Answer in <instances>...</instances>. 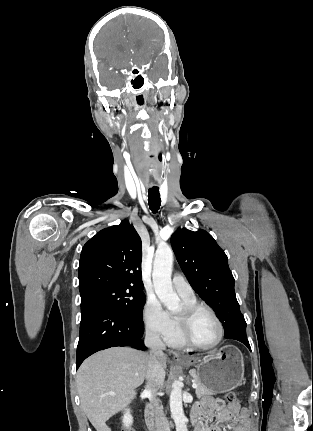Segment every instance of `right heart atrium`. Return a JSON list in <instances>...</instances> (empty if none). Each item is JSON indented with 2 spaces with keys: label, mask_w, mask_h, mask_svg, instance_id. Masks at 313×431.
Masks as SVG:
<instances>
[{
  "label": "right heart atrium",
  "mask_w": 313,
  "mask_h": 431,
  "mask_svg": "<svg viewBox=\"0 0 313 431\" xmlns=\"http://www.w3.org/2000/svg\"><path fill=\"white\" fill-rule=\"evenodd\" d=\"M143 321L146 329L152 334L165 339L173 330L171 316L164 310L160 301L149 297L143 308Z\"/></svg>",
  "instance_id": "right-heart-atrium-1"
}]
</instances>
